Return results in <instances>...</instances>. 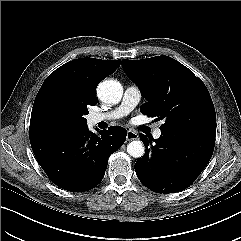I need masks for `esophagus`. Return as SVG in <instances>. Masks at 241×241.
I'll list each match as a JSON object with an SVG mask.
<instances>
[{
    "label": "esophagus",
    "instance_id": "esophagus-1",
    "mask_svg": "<svg viewBox=\"0 0 241 241\" xmlns=\"http://www.w3.org/2000/svg\"><path fill=\"white\" fill-rule=\"evenodd\" d=\"M126 139L128 141L136 140V139H138V134L133 130H128L127 135H126Z\"/></svg>",
    "mask_w": 241,
    "mask_h": 241
}]
</instances>
